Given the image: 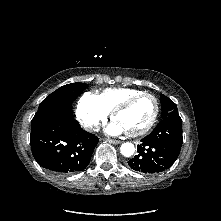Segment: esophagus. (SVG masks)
I'll use <instances>...</instances> for the list:
<instances>
[{
	"mask_svg": "<svg viewBox=\"0 0 221 221\" xmlns=\"http://www.w3.org/2000/svg\"><path fill=\"white\" fill-rule=\"evenodd\" d=\"M101 140L112 143V144H120L121 143V141H119V140H113V139H107V138H102Z\"/></svg>",
	"mask_w": 221,
	"mask_h": 221,
	"instance_id": "esophagus-1",
	"label": "esophagus"
}]
</instances>
